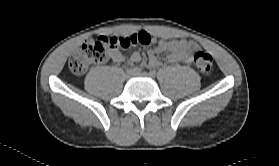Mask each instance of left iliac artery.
Wrapping results in <instances>:
<instances>
[{
    "mask_svg": "<svg viewBox=\"0 0 279 166\" xmlns=\"http://www.w3.org/2000/svg\"><path fill=\"white\" fill-rule=\"evenodd\" d=\"M150 75L155 77L156 76V71L155 70H150Z\"/></svg>",
    "mask_w": 279,
    "mask_h": 166,
    "instance_id": "obj_1",
    "label": "left iliac artery"
}]
</instances>
